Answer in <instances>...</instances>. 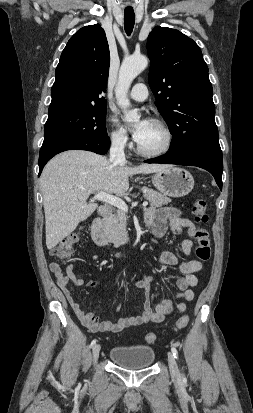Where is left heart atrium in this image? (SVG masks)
Masks as SVG:
<instances>
[{
    "instance_id": "1",
    "label": "left heart atrium",
    "mask_w": 253,
    "mask_h": 413,
    "mask_svg": "<svg viewBox=\"0 0 253 413\" xmlns=\"http://www.w3.org/2000/svg\"><path fill=\"white\" fill-rule=\"evenodd\" d=\"M150 124L151 121L149 119H142L136 125H134V127L132 128V135L137 143L141 140Z\"/></svg>"
}]
</instances>
